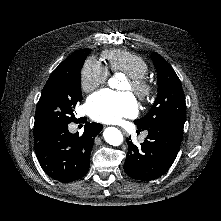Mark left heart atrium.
Segmentation results:
<instances>
[{
	"label": "left heart atrium",
	"mask_w": 221,
	"mask_h": 221,
	"mask_svg": "<svg viewBox=\"0 0 221 221\" xmlns=\"http://www.w3.org/2000/svg\"><path fill=\"white\" fill-rule=\"evenodd\" d=\"M89 116L103 123H117L124 117L137 113V103L130 92L100 90L92 94L86 103Z\"/></svg>",
	"instance_id": "39dd6f15"
}]
</instances>
